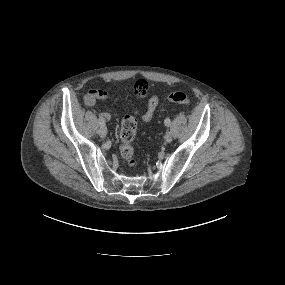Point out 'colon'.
Wrapping results in <instances>:
<instances>
[{"instance_id":"obj_1","label":"colon","mask_w":285,"mask_h":285,"mask_svg":"<svg viewBox=\"0 0 285 285\" xmlns=\"http://www.w3.org/2000/svg\"><path fill=\"white\" fill-rule=\"evenodd\" d=\"M148 83L144 79H139L134 89L139 92L147 88ZM169 101L175 104L188 105L189 96L183 91L172 92ZM137 120L134 116L127 115L121 121L120 126V153L128 165L133 166L136 162L134 151V140L136 137Z\"/></svg>"}]
</instances>
